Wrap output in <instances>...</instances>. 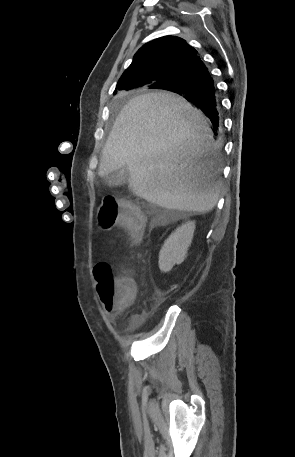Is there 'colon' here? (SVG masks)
Instances as JSON below:
<instances>
[{
	"label": "colon",
	"instance_id": "1",
	"mask_svg": "<svg viewBox=\"0 0 295 457\" xmlns=\"http://www.w3.org/2000/svg\"><path fill=\"white\" fill-rule=\"evenodd\" d=\"M97 223L102 230L121 225L129 229L135 238H140L145 219L135 205L106 196L98 209ZM94 276L100 300L108 312L119 313L135 300L137 284L132 278L115 276L106 263L95 265Z\"/></svg>",
	"mask_w": 295,
	"mask_h": 457
}]
</instances>
